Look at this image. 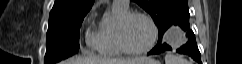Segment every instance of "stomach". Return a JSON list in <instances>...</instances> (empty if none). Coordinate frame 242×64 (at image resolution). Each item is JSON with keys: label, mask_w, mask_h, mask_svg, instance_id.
I'll return each instance as SVG.
<instances>
[{"label": "stomach", "mask_w": 242, "mask_h": 64, "mask_svg": "<svg viewBox=\"0 0 242 64\" xmlns=\"http://www.w3.org/2000/svg\"><path fill=\"white\" fill-rule=\"evenodd\" d=\"M149 60L142 64H160L158 61L148 58Z\"/></svg>", "instance_id": "0dacf381"}]
</instances>
